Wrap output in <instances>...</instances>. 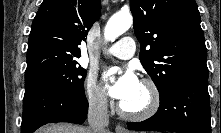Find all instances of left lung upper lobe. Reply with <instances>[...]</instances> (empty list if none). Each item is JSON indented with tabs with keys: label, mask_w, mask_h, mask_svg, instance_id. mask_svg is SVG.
Wrapping results in <instances>:
<instances>
[{
	"label": "left lung upper lobe",
	"mask_w": 221,
	"mask_h": 133,
	"mask_svg": "<svg viewBox=\"0 0 221 133\" xmlns=\"http://www.w3.org/2000/svg\"><path fill=\"white\" fill-rule=\"evenodd\" d=\"M140 61L163 94L185 77L208 79L207 49L194 0H130Z\"/></svg>",
	"instance_id": "obj_1"
}]
</instances>
